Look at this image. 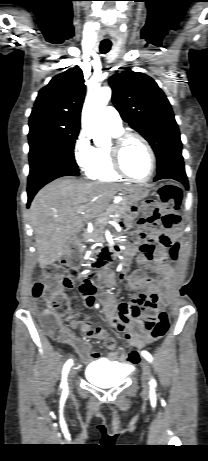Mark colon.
Returning a JSON list of instances; mask_svg holds the SVG:
<instances>
[{
	"instance_id": "5ec220e1",
	"label": "colon",
	"mask_w": 208,
	"mask_h": 461,
	"mask_svg": "<svg viewBox=\"0 0 208 461\" xmlns=\"http://www.w3.org/2000/svg\"><path fill=\"white\" fill-rule=\"evenodd\" d=\"M182 202V190L173 184H165L159 189L158 200H147L143 204L141 223H149L154 226L159 235V229H171L180 223L178 210ZM132 242L139 245L140 251H166L159 249L146 240L141 233L132 236ZM159 243V240H158ZM77 279V273L72 279L67 277L65 270L60 265H48L44 268L41 278L36 281L32 288V296L35 300L37 312L45 332L55 339L63 337L59 317L62 313L74 312V300L66 302V292L73 288ZM170 322L167 313L161 312L154 320L148 323V334L141 340H129L127 349L134 354H139L144 345L163 338L169 330Z\"/></svg>"
}]
</instances>
